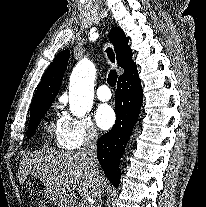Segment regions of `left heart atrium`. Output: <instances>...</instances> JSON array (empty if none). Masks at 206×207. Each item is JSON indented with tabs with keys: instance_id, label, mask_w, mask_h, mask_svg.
Instances as JSON below:
<instances>
[{
	"instance_id": "left-heart-atrium-1",
	"label": "left heart atrium",
	"mask_w": 206,
	"mask_h": 207,
	"mask_svg": "<svg viewBox=\"0 0 206 207\" xmlns=\"http://www.w3.org/2000/svg\"><path fill=\"white\" fill-rule=\"evenodd\" d=\"M96 123L102 130H107L114 125L115 112L110 105H101L95 115Z\"/></svg>"
}]
</instances>
